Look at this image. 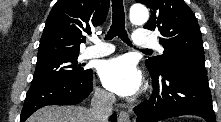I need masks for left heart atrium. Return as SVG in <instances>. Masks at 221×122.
I'll return each instance as SVG.
<instances>
[{"instance_id":"left-heart-atrium-1","label":"left heart atrium","mask_w":221,"mask_h":122,"mask_svg":"<svg viewBox=\"0 0 221 122\" xmlns=\"http://www.w3.org/2000/svg\"><path fill=\"white\" fill-rule=\"evenodd\" d=\"M98 73L105 88L120 96L134 95L141 86L135 63L125 55L102 62Z\"/></svg>"}]
</instances>
